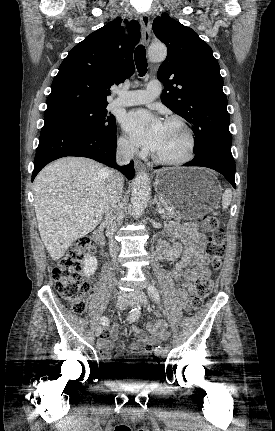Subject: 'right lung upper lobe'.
Listing matches in <instances>:
<instances>
[{
    "label": "right lung upper lobe",
    "instance_id": "obj_1",
    "mask_svg": "<svg viewBox=\"0 0 275 431\" xmlns=\"http://www.w3.org/2000/svg\"><path fill=\"white\" fill-rule=\"evenodd\" d=\"M120 22L118 18L106 24L70 50L53 79L45 112L108 104L110 87L134 73L132 55L140 26L128 22L126 35Z\"/></svg>",
    "mask_w": 275,
    "mask_h": 431
}]
</instances>
